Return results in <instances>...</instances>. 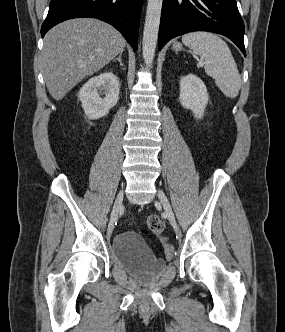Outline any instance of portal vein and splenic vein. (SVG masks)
Masks as SVG:
<instances>
[{
    "instance_id": "obj_1",
    "label": "portal vein and splenic vein",
    "mask_w": 285,
    "mask_h": 332,
    "mask_svg": "<svg viewBox=\"0 0 285 332\" xmlns=\"http://www.w3.org/2000/svg\"><path fill=\"white\" fill-rule=\"evenodd\" d=\"M199 65H200V66H203V62H199Z\"/></svg>"
}]
</instances>
